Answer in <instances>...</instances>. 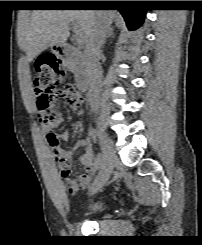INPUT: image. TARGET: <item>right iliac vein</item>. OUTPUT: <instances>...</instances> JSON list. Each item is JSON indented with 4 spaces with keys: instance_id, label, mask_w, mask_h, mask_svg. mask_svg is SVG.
<instances>
[{
    "instance_id": "63e3f726",
    "label": "right iliac vein",
    "mask_w": 202,
    "mask_h": 245,
    "mask_svg": "<svg viewBox=\"0 0 202 245\" xmlns=\"http://www.w3.org/2000/svg\"><path fill=\"white\" fill-rule=\"evenodd\" d=\"M100 142L104 153V161L101 166V170L99 172L98 177L96 178L94 184L90 188L91 193H95L101 190V188L110 178L114 169V163L117 161V156L115 155L113 146L110 142V139L105 133L100 134Z\"/></svg>"
}]
</instances>
